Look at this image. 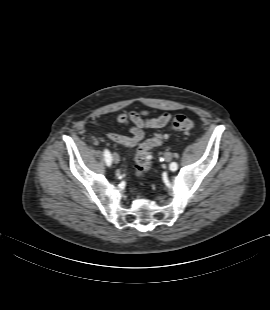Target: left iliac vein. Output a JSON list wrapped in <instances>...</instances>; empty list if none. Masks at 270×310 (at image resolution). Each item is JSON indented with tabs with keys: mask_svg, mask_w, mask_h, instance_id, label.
I'll return each mask as SVG.
<instances>
[{
	"mask_svg": "<svg viewBox=\"0 0 270 310\" xmlns=\"http://www.w3.org/2000/svg\"><path fill=\"white\" fill-rule=\"evenodd\" d=\"M164 158H165V161L166 162H170L171 159H172V154L170 152H167L165 155H164Z\"/></svg>",
	"mask_w": 270,
	"mask_h": 310,
	"instance_id": "4c4485c4",
	"label": "left iliac vein"
}]
</instances>
